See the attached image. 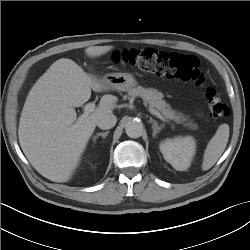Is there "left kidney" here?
Wrapping results in <instances>:
<instances>
[{
	"mask_svg": "<svg viewBox=\"0 0 250 250\" xmlns=\"http://www.w3.org/2000/svg\"><path fill=\"white\" fill-rule=\"evenodd\" d=\"M164 159L178 171H186L195 155L196 143L192 136L166 139L159 145Z\"/></svg>",
	"mask_w": 250,
	"mask_h": 250,
	"instance_id": "1",
	"label": "left kidney"
}]
</instances>
